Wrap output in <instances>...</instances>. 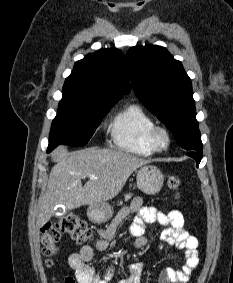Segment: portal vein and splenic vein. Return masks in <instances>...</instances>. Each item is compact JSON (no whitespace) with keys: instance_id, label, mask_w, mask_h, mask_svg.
Returning a JSON list of instances; mask_svg holds the SVG:
<instances>
[{"instance_id":"portal-vein-and-splenic-vein-1","label":"portal vein and splenic vein","mask_w":233,"mask_h":283,"mask_svg":"<svg viewBox=\"0 0 233 283\" xmlns=\"http://www.w3.org/2000/svg\"><path fill=\"white\" fill-rule=\"evenodd\" d=\"M90 179H97V177L95 175H89Z\"/></svg>"}]
</instances>
